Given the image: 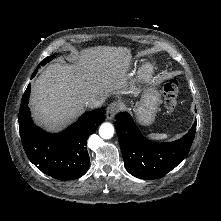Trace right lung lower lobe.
Returning <instances> with one entry per match:
<instances>
[{"label": "right lung lower lobe", "instance_id": "98d812e1", "mask_svg": "<svg viewBox=\"0 0 221 221\" xmlns=\"http://www.w3.org/2000/svg\"><path fill=\"white\" fill-rule=\"evenodd\" d=\"M35 75L36 72L32 78ZM30 88L29 84L19 110V131L26 155L39 170L55 179L67 181L81 177L90 164L87 140L104 121L105 107L84 113L68 129L53 135L33 124L28 108Z\"/></svg>", "mask_w": 221, "mask_h": 221}]
</instances>
